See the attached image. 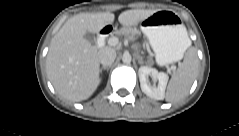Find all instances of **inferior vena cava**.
I'll return each instance as SVG.
<instances>
[{
	"label": "inferior vena cava",
	"mask_w": 239,
	"mask_h": 136,
	"mask_svg": "<svg viewBox=\"0 0 239 136\" xmlns=\"http://www.w3.org/2000/svg\"><path fill=\"white\" fill-rule=\"evenodd\" d=\"M116 58V51L110 47H104L98 51L99 62L103 66H110Z\"/></svg>",
	"instance_id": "inferior-vena-cava-1"
}]
</instances>
